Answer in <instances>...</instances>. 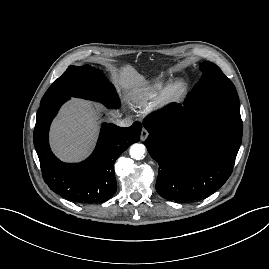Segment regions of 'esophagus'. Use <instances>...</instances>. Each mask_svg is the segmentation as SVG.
<instances>
[{
    "instance_id": "34e87169",
    "label": "esophagus",
    "mask_w": 269,
    "mask_h": 269,
    "mask_svg": "<svg viewBox=\"0 0 269 269\" xmlns=\"http://www.w3.org/2000/svg\"><path fill=\"white\" fill-rule=\"evenodd\" d=\"M147 137H148V131L145 128H143L141 131L140 139L142 141H145Z\"/></svg>"
}]
</instances>
